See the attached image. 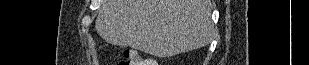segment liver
<instances>
[{
	"label": "liver",
	"mask_w": 309,
	"mask_h": 65,
	"mask_svg": "<svg viewBox=\"0 0 309 65\" xmlns=\"http://www.w3.org/2000/svg\"><path fill=\"white\" fill-rule=\"evenodd\" d=\"M97 33L157 57L201 48L213 35L210 0H101Z\"/></svg>",
	"instance_id": "1"
}]
</instances>
